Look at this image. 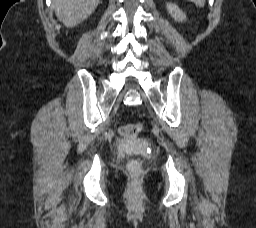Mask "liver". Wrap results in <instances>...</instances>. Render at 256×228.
Wrapping results in <instances>:
<instances>
[{
  "label": "liver",
  "mask_w": 256,
  "mask_h": 228,
  "mask_svg": "<svg viewBox=\"0 0 256 228\" xmlns=\"http://www.w3.org/2000/svg\"><path fill=\"white\" fill-rule=\"evenodd\" d=\"M100 0H53L56 16L66 27H75L87 19Z\"/></svg>",
  "instance_id": "liver-1"
}]
</instances>
